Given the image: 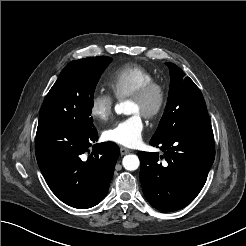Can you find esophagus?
Instances as JSON below:
<instances>
[{"instance_id": "esophagus-1", "label": "esophagus", "mask_w": 246, "mask_h": 246, "mask_svg": "<svg viewBox=\"0 0 246 246\" xmlns=\"http://www.w3.org/2000/svg\"><path fill=\"white\" fill-rule=\"evenodd\" d=\"M130 152H131V150H129V149L125 148V147H121L120 148L121 155H125V154H128Z\"/></svg>"}]
</instances>
